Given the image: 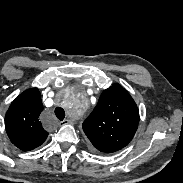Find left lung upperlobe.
Masks as SVG:
<instances>
[{"mask_svg":"<svg viewBox=\"0 0 183 183\" xmlns=\"http://www.w3.org/2000/svg\"><path fill=\"white\" fill-rule=\"evenodd\" d=\"M138 123L136 103L121 85L114 84L102 92L98 104L82 127L96 149L113 153L129 144Z\"/></svg>","mask_w":183,"mask_h":183,"instance_id":"5c2ea615","label":"left lung upper lobe"}]
</instances>
